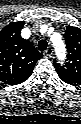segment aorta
<instances>
[{
  "instance_id": "1",
  "label": "aorta",
  "mask_w": 81,
  "mask_h": 124,
  "mask_svg": "<svg viewBox=\"0 0 81 124\" xmlns=\"http://www.w3.org/2000/svg\"><path fill=\"white\" fill-rule=\"evenodd\" d=\"M51 41L53 43L56 55L59 58V60H64L66 48H65V44H64L63 40H61L60 35H58V34L53 35L51 38Z\"/></svg>"
}]
</instances>
